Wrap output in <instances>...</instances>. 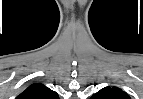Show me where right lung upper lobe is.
<instances>
[{
  "mask_svg": "<svg viewBox=\"0 0 143 99\" xmlns=\"http://www.w3.org/2000/svg\"><path fill=\"white\" fill-rule=\"evenodd\" d=\"M16 99H58V95L41 83H34L18 95Z\"/></svg>",
  "mask_w": 143,
  "mask_h": 99,
  "instance_id": "obj_1",
  "label": "right lung upper lobe"
}]
</instances>
